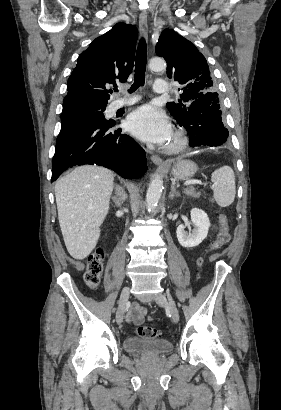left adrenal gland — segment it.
<instances>
[{"label": "left adrenal gland", "mask_w": 281, "mask_h": 410, "mask_svg": "<svg viewBox=\"0 0 281 410\" xmlns=\"http://www.w3.org/2000/svg\"><path fill=\"white\" fill-rule=\"evenodd\" d=\"M180 193L176 190L174 185L171 186V192L169 193V199H173L174 197H179Z\"/></svg>", "instance_id": "1"}]
</instances>
